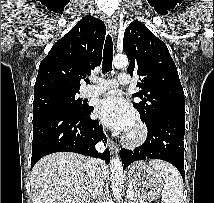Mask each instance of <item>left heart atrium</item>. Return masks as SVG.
I'll return each instance as SVG.
<instances>
[{"label": "left heart atrium", "instance_id": "left-heart-atrium-1", "mask_svg": "<svg viewBox=\"0 0 214 203\" xmlns=\"http://www.w3.org/2000/svg\"><path fill=\"white\" fill-rule=\"evenodd\" d=\"M96 114L105 125L120 131L131 130L137 121L135 112L119 91H113L100 100Z\"/></svg>", "mask_w": 214, "mask_h": 203}]
</instances>
